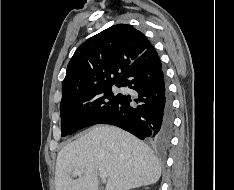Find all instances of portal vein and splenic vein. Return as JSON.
Here are the masks:
<instances>
[{
  "label": "portal vein and splenic vein",
  "instance_id": "obj_1",
  "mask_svg": "<svg viewBox=\"0 0 234 190\" xmlns=\"http://www.w3.org/2000/svg\"><path fill=\"white\" fill-rule=\"evenodd\" d=\"M82 173H83L82 170H76V171H74V175H81ZM99 175H100L101 179H103V180H106L107 177H108L107 173L104 172V171H100Z\"/></svg>",
  "mask_w": 234,
  "mask_h": 190
}]
</instances>
